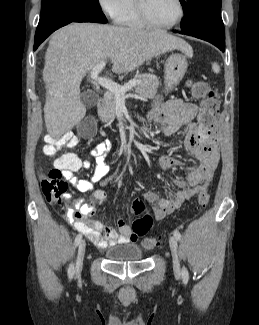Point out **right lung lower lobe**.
<instances>
[{
  "instance_id": "right-lung-lower-lobe-1",
  "label": "right lung lower lobe",
  "mask_w": 259,
  "mask_h": 325,
  "mask_svg": "<svg viewBox=\"0 0 259 325\" xmlns=\"http://www.w3.org/2000/svg\"><path fill=\"white\" fill-rule=\"evenodd\" d=\"M71 22H75L73 20H61L56 23H53L48 28H46L43 32L35 35V41H34V50L38 48V46L55 30L58 28L65 26Z\"/></svg>"
}]
</instances>
